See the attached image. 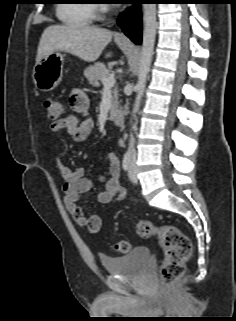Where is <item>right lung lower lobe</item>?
<instances>
[{"label": "right lung lower lobe", "mask_w": 236, "mask_h": 321, "mask_svg": "<svg viewBox=\"0 0 236 321\" xmlns=\"http://www.w3.org/2000/svg\"><path fill=\"white\" fill-rule=\"evenodd\" d=\"M145 0H132L128 3L134 6L126 12L125 17L120 15L118 24L122 27L124 33L136 44L141 43V14L140 4Z\"/></svg>", "instance_id": "obj_1"}]
</instances>
